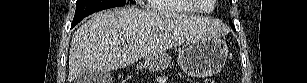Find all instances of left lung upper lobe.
<instances>
[{
	"label": "left lung upper lobe",
	"instance_id": "left-lung-upper-lobe-1",
	"mask_svg": "<svg viewBox=\"0 0 307 83\" xmlns=\"http://www.w3.org/2000/svg\"><path fill=\"white\" fill-rule=\"evenodd\" d=\"M230 22V25L234 28V25L232 24V22L231 21H229Z\"/></svg>",
	"mask_w": 307,
	"mask_h": 83
}]
</instances>
